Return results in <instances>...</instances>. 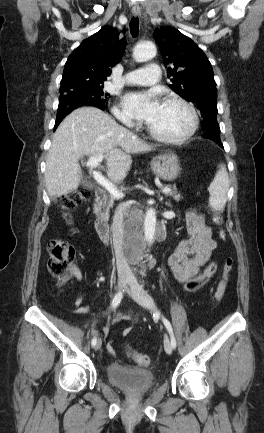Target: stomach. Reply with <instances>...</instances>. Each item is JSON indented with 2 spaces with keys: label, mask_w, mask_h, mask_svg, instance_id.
Listing matches in <instances>:
<instances>
[{
  "label": "stomach",
  "mask_w": 264,
  "mask_h": 433,
  "mask_svg": "<svg viewBox=\"0 0 264 433\" xmlns=\"http://www.w3.org/2000/svg\"><path fill=\"white\" fill-rule=\"evenodd\" d=\"M151 169L156 176L164 181L176 179L181 170L179 159L177 155L172 152L155 157L151 161Z\"/></svg>",
  "instance_id": "obj_1"
}]
</instances>
